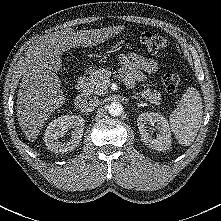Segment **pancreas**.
<instances>
[{"mask_svg": "<svg viewBox=\"0 0 221 221\" xmlns=\"http://www.w3.org/2000/svg\"><path fill=\"white\" fill-rule=\"evenodd\" d=\"M112 72L108 69H98L92 73L90 82L85 87V93L88 95H104L107 92V88L110 84V77ZM135 95H139L147 101L159 105L161 95L156 90L146 89L142 92L134 91Z\"/></svg>", "mask_w": 221, "mask_h": 221, "instance_id": "cf45deb5", "label": "pancreas"}]
</instances>
